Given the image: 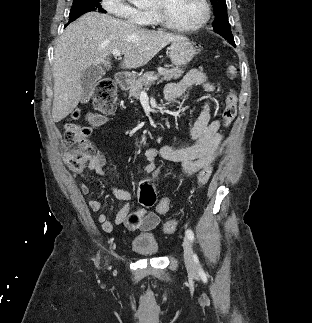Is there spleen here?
<instances>
[{
	"instance_id": "1",
	"label": "spleen",
	"mask_w": 312,
	"mask_h": 323,
	"mask_svg": "<svg viewBox=\"0 0 312 323\" xmlns=\"http://www.w3.org/2000/svg\"><path fill=\"white\" fill-rule=\"evenodd\" d=\"M228 70L229 74H236V68H234V66H229Z\"/></svg>"
}]
</instances>
